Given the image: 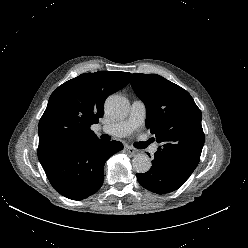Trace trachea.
Wrapping results in <instances>:
<instances>
[{
    "label": "trachea",
    "instance_id": "trachea-1",
    "mask_svg": "<svg viewBox=\"0 0 248 248\" xmlns=\"http://www.w3.org/2000/svg\"><path fill=\"white\" fill-rule=\"evenodd\" d=\"M150 143V141H147V142H142V143H140V149H143V148H145L148 144Z\"/></svg>",
    "mask_w": 248,
    "mask_h": 248
}]
</instances>
